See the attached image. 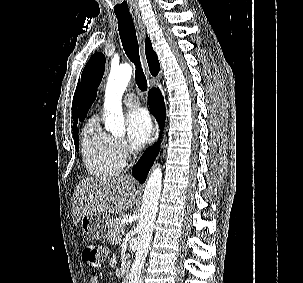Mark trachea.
<instances>
[{
	"mask_svg": "<svg viewBox=\"0 0 303 283\" xmlns=\"http://www.w3.org/2000/svg\"><path fill=\"white\" fill-rule=\"evenodd\" d=\"M120 39L129 60L135 65V81L141 91L147 90V80L143 72L139 45L134 22L131 16H117Z\"/></svg>",
	"mask_w": 303,
	"mask_h": 283,
	"instance_id": "1",
	"label": "trachea"
}]
</instances>
